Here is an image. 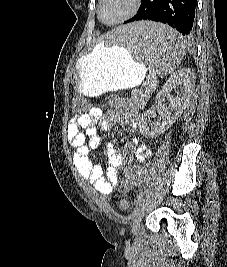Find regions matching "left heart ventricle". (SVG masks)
<instances>
[{
    "mask_svg": "<svg viewBox=\"0 0 227 267\" xmlns=\"http://www.w3.org/2000/svg\"><path fill=\"white\" fill-rule=\"evenodd\" d=\"M131 7V0H105L102 5V18L112 22L125 15Z\"/></svg>",
    "mask_w": 227,
    "mask_h": 267,
    "instance_id": "left-heart-ventricle-1",
    "label": "left heart ventricle"
}]
</instances>
